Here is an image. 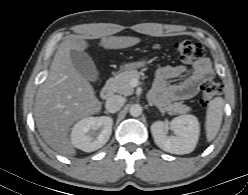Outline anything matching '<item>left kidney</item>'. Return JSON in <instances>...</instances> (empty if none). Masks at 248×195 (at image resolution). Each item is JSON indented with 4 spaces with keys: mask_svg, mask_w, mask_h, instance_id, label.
Wrapping results in <instances>:
<instances>
[{
    "mask_svg": "<svg viewBox=\"0 0 248 195\" xmlns=\"http://www.w3.org/2000/svg\"><path fill=\"white\" fill-rule=\"evenodd\" d=\"M174 135L167 134V124L156 121L151 125V133L156 145L172 154H188L196 147L200 126L193 115H182L174 118L170 124Z\"/></svg>",
    "mask_w": 248,
    "mask_h": 195,
    "instance_id": "1",
    "label": "left kidney"
}]
</instances>
